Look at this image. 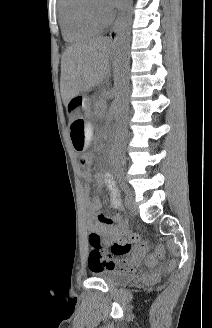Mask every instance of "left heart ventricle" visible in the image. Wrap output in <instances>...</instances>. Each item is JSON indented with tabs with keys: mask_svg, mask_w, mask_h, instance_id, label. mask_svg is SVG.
<instances>
[{
	"mask_svg": "<svg viewBox=\"0 0 212 328\" xmlns=\"http://www.w3.org/2000/svg\"><path fill=\"white\" fill-rule=\"evenodd\" d=\"M96 6L99 8V9H101L102 11H104V9L102 8V6H101V4H100V2L98 1V0H96Z\"/></svg>",
	"mask_w": 212,
	"mask_h": 328,
	"instance_id": "obj_1",
	"label": "left heart ventricle"
}]
</instances>
